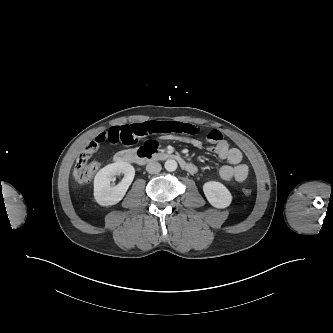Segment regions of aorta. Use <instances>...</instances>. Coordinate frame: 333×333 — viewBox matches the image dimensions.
<instances>
[{"instance_id": "obj_1", "label": "aorta", "mask_w": 333, "mask_h": 333, "mask_svg": "<svg viewBox=\"0 0 333 333\" xmlns=\"http://www.w3.org/2000/svg\"><path fill=\"white\" fill-rule=\"evenodd\" d=\"M177 162L173 159H168L166 160L165 164H164V167L167 171L169 172H173L177 169Z\"/></svg>"}]
</instances>
